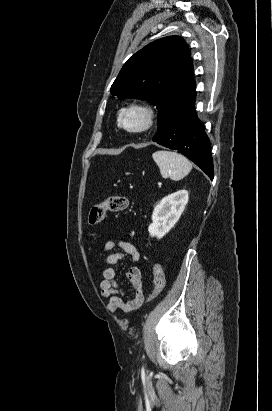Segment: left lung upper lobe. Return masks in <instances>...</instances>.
<instances>
[{"label":"left lung upper lobe","instance_id":"1","mask_svg":"<svg viewBox=\"0 0 272 411\" xmlns=\"http://www.w3.org/2000/svg\"><path fill=\"white\" fill-rule=\"evenodd\" d=\"M187 44L179 36L158 39L139 50L122 67L111 94L157 106L158 130L196 95Z\"/></svg>","mask_w":272,"mask_h":411}]
</instances>
